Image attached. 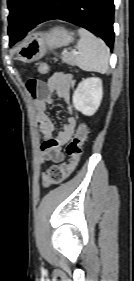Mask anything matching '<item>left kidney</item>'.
I'll use <instances>...</instances> for the list:
<instances>
[{"label": "left kidney", "mask_w": 134, "mask_h": 281, "mask_svg": "<svg viewBox=\"0 0 134 281\" xmlns=\"http://www.w3.org/2000/svg\"><path fill=\"white\" fill-rule=\"evenodd\" d=\"M102 97L103 87L100 78L83 79L73 94V105L84 115L92 116L98 110Z\"/></svg>", "instance_id": "left-kidney-1"}]
</instances>
